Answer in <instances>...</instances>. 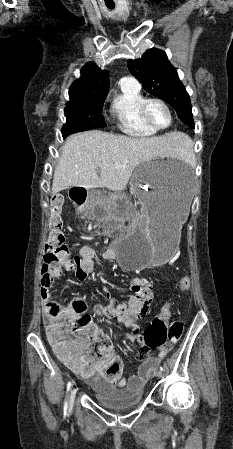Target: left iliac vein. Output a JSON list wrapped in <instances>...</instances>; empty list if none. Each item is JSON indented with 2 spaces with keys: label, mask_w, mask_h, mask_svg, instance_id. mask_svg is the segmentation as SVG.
Instances as JSON below:
<instances>
[{
  "label": "left iliac vein",
  "mask_w": 233,
  "mask_h": 449,
  "mask_svg": "<svg viewBox=\"0 0 233 449\" xmlns=\"http://www.w3.org/2000/svg\"><path fill=\"white\" fill-rule=\"evenodd\" d=\"M162 376H163V373H162L161 370H159V371L157 372V377H158V378H161Z\"/></svg>",
  "instance_id": "4c4485c4"
}]
</instances>
